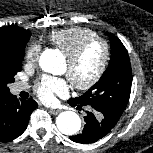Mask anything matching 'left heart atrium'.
Listing matches in <instances>:
<instances>
[{"mask_svg":"<svg viewBox=\"0 0 153 153\" xmlns=\"http://www.w3.org/2000/svg\"><path fill=\"white\" fill-rule=\"evenodd\" d=\"M36 93L45 103H54L57 96L68 94L69 86L65 79L54 76H43L36 83Z\"/></svg>","mask_w":153,"mask_h":153,"instance_id":"1","label":"left heart atrium"}]
</instances>
